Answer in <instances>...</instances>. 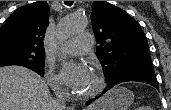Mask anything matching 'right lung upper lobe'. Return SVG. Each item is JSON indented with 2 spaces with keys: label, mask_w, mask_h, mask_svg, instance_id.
Here are the masks:
<instances>
[{
  "label": "right lung upper lobe",
  "mask_w": 171,
  "mask_h": 110,
  "mask_svg": "<svg viewBox=\"0 0 171 110\" xmlns=\"http://www.w3.org/2000/svg\"><path fill=\"white\" fill-rule=\"evenodd\" d=\"M49 19L46 1H37L14 11L0 28V43L9 42L44 50L43 39Z\"/></svg>",
  "instance_id": "right-lung-upper-lobe-1"
}]
</instances>
